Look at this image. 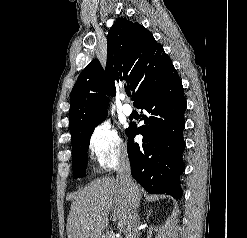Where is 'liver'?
<instances>
[{"mask_svg":"<svg viewBox=\"0 0 247 238\" xmlns=\"http://www.w3.org/2000/svg\"><path fill=\"white\" fill-rule=\"evenodd\" d=\"M140 198V188L136 185ZM111 219L124 230L131 213V200L124 186L111 177L96 179L76 193L67 221L68 238H101Z\"/></svg>","mask_w":247,"mask_h":238,"instance_id":"liver-1","label":"liver"}]
</instances>
